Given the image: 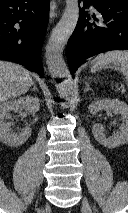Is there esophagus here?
<instances>
[{
	"mask_svg": "<svg viewBox=\"0 0 128 213\" xmlns=\"http://www.w3.org/2000/svg\"><path fill=\"white\" fill-rule=\"evenodd\" d=\"M62 0H52L50 7V21L52 22L58 15V4Z\"/></svg>",
	"mask_w": 128,
	"mask_h": 213,
	"instance_id": "34e87169",
	"label": "esophagus"
}]
</instances>
